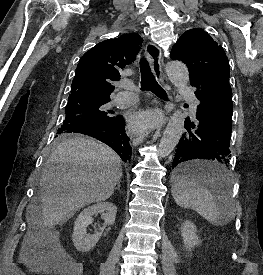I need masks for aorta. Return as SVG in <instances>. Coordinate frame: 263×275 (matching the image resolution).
<instances>
[{"label": "aorta", "mask_w": 263, "mask_h": 275, "mask_svg": "<svg viewBox=\"0 0 263 275\" xmlns=\"http://www.w3.org/2000/svg\"><path fill=\"white\" fill-rule=\"evenodd\" d=\"M166 72L179 91L186 88L189 82V72L185 64L171 61L166 66ZM185 118L186 113L183 107L173 113L158 147V154L161 157H167L177 146L183 133Z\"/></svg>", "instance_id": "762f6f07"}]
</instances>
